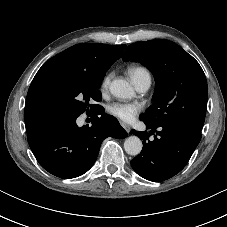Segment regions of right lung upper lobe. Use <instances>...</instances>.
Instances as JSON below:
<instances>
[{"instance_id":"cb5924a9","label":"right lung upper lobe","mask_w":227,"mask_h":227,"mask_svg":"<svg viewBox=\"0 0 227 227\" xmlns=\"http://www.w3.org/2000/svg\"><path fill=\"white\" fill-rule=\"evenodd\" d=\"M125 47L126 45L100 43L77 44L44 63L33 78L27 93L24 111L27 134L53 118L43 98L45 80L53 71L106 72L120 58Z\"/></svg>"}]
</instances>
